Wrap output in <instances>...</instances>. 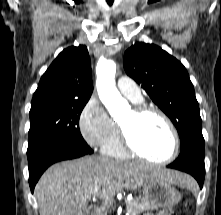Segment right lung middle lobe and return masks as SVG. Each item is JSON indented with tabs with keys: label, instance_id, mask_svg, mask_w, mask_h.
Instances as JSON below:
<instances>
[{
	"label": "right lung middle lobe",
	"instance_id": "1",
	"mask_svg": "<svg viewBox=\"0 0 221 215\" xmlns=\"http://www.w3.org/2000/svg\"><path fill=\"white\" fill-rule=\"evenodd\" d=\"M87 101H47L31 106L27 154L54 141L84 143L80 114Z\"/></svg>",
	"mask_w": 221,
	"mask_h": 215
}]
</instances>
